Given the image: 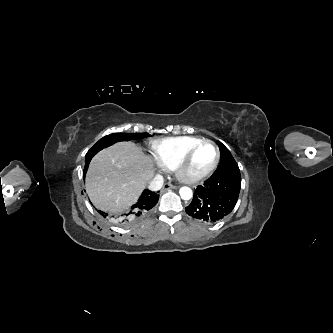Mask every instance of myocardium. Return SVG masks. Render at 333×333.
<instances>
[{
	"label": "myocardium",
	"mask_w": 333,
	"mask_h": 333,
	"mask_svg": "<svg viewBox=\"0 0 333 333\" xmlns=\"http://www.w3.org/2000/svg\"><path fill=\"white\" fill-rule=\"evenodd\" d=\"M204 144H210L215 148V150H216V159H215L214 163L211 165L210 168H208L203 173H200V174H197V175H192V176L187 175L185 170H186V167H187L188 163L190 162V160H191L192 156L194 155V153L196 152V150ZM220 159H221V152H220V149L217 146V144L212 140L202 139L201 141L194 144L191 148H189L182 155V157L177 162V164L174 168V171H175L176 176L181 181H183L185 183H188V184L197 183V182L205 179L206 177H208L210 174H212L214 172V170L217 168V166L220 162Z\"/></svg>",
	"instance_id": "f54148a6"
}]
</instances>
